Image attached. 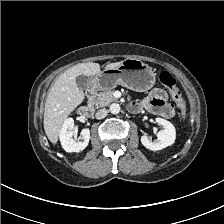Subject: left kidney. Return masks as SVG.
<instances>
[{"instance_id":"obj_1","label":"left kidney","mask_w":224,"mask_h":224,"mask_svg":"<svg viewBox=\"0 0 224 224\" xmlns=\"http://www.w3.org/2000/svg\"><path fill=\"white\" fill-rule=\"evenodd\" d=\"M156 122L163 127L157 133V140L152 142L146 135L141 137V143L152 151L164 149L172 145L176 139V130L172 123L162 118H156Z\"/></svg>"}]
</instances>
